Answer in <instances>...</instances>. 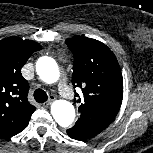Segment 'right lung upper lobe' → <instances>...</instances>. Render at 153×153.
Segmentation results:
<instances>
[{
    "label": "right lung upper lobe",
    "mask_w": 153,
    "mask_h": 153,
    "mask_svg": "<svg viewBox=\"0 0 153 153\" xmlns=\"http://www.w3.org/2000/svg\"><path fill=\"white\" fill-rule=\"evenodd\" d=\"M41 45L32 40L8 37L0 41V137L9 138L29 123L35 107L28 102V82L21 68Z\"/></svg>",
    "instance_id": "obj_1"
}]
</instances>
